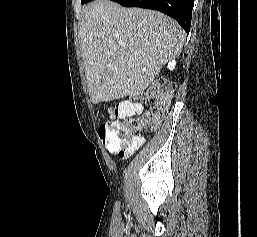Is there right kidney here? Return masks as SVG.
Masks as SVG:
<instances>
[{
  "label": "right kidney",
  "instance_id": "obj_1",
  "mask_svg": "<svg viewBox=\"0 0 257 237\" xmlns=\"http://www.w3.org/2000/svg\"><path fill=\"white\" fill-rule=\"evenodd\" d=\"M175 66H176V61H175V59H173V60L168 62L167 68L169 70H173L175 68Z\"/></svg>",
  "mask_w": 257,
  "mask_h": 237
}]
</instances>
